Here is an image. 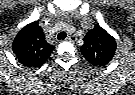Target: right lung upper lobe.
<instances>
[{
    "instance_id": "cb5924a9",
    "label": "right lung upper lobe",
    "mask_w": 135,
    "mask_h": 95,
    "mask_svg": "<svg viewBox=\"0 0 135 95\" xmlns=\"http://www.w3.org/2000/svg\"><path fill=\"white\" fill-rule=\"evenodd\" d=\"M54 46L47 43L39 22L23 27L16 35L12 50L19 63L29 68L41 67L51 55Z\"/></svg>"
}]
</instances>
